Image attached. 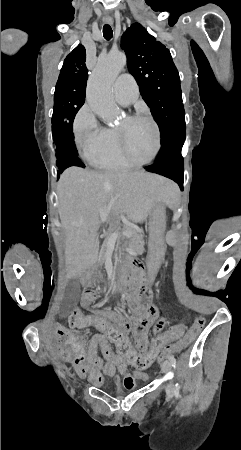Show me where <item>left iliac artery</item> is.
Instances as JSON below:
<instances>
[{
  "instance_id": "44dca946",
  "label": "left iliac artery",
  "mask_w": 241,
  "mask_h": 450,
  "mask_svg": "<svg viewBox=\"0 0 241 450\" xmlns=\"http://www.w3.org/2000/svg\"><path fill=\"white\" fill-rule=\"evenodd\" d=\"M168 358H169V361H170V363L172 364V366L175 367V365H176V359H175V357H174L173 355H169ZM179 390H180V385L177 383V384H176V390H175V392L178 393Z\"/></svg>"
}]
</instances>
